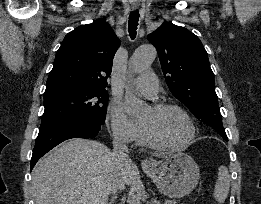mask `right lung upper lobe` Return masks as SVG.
Segmentation results:
<instances>
[{
    "instance_id": "right-lung-upper-lobe-1",
    "label": "right lung upper lobe",
    "mask_w": 261,
    "mask_h": 204,
    "mask_svg": "<svg viewBox=\"0 0 261 204\" xmlns=\"http://www.w3.org/2000/svg\"><path fill=\"white\" fill-rule=\"evenodd\" d=\"M119 39L105 20L68 33L57 51L45 94L62 90H105Z\"/></svg>"
}]
</instances>
